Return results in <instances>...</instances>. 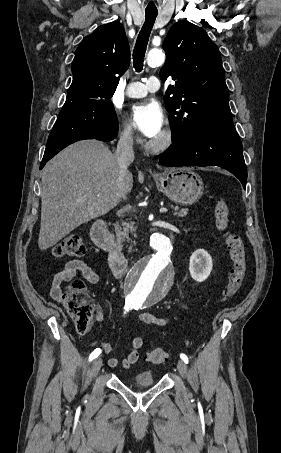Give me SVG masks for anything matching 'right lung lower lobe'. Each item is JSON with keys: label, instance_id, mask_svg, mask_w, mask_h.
<instances>
[{"label": "right lung lower lobe", "instance_id": "98d812e1", "mask_svg": "<svg viewBox=\"0 0 281 453\" xmlns=\"http://www.w3.org/2000/svg\"><path fill=\"white\" fill-rule=\"evenodd\" d=\"M117 131L118 121L111 101L65 103L49 136L40 169L73 142L83 139L110 141Z\"/></svg>", "mask_w": 281, "mask_h": 453}]
</instances>
